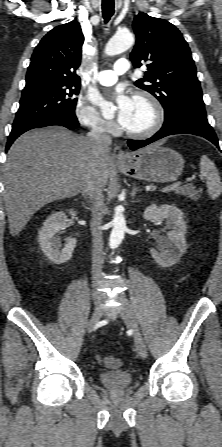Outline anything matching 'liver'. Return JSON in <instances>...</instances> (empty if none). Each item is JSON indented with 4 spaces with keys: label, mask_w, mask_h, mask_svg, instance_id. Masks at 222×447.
<instances>
[{
    "label": "liver",
    "mask_w": 222,
    "mask_h": 447,
    "mask_svg": "<svg viewBox=\"0 0 222 447\" xmlns=\"http://www.w3.org/2000/svg\"><path fill=\"white\" fill-rule=\"evenodd\" d=\"M110 173L109 153L97 156L88 137L58 126L24 133L3 169L10 234L18 235L46 204L79 194L88 176L96 174L105 186Z\"/></svg>",
    "instance_id": "liver-1"
}]
</instances>
